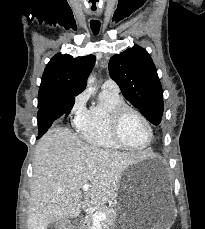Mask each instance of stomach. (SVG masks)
<instances>
[{
	"label": "stomach",
	"instance_id": "0dacf381",
	"mask_svg": "<svg viewBox=\"0 0 205 229\" xmlns=\"http://www.w3.org/2000/svg\"><path fill=\"white\" fill-rule=\"evenodd\" d=\"M136 179L133 172L123 175L111 229H170L175 220L174 206L153 195H140Z\"/></svg>",
	"mask_w": 205,
	"mask_h": 229
}]
</instances>
